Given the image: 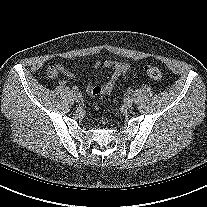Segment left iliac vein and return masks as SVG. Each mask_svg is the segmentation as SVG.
<instances>
[{
  "label": "left iliac vein",
  "instance_id": "obj_1",
  "mask_svg": "<svg viewBox=\"0 0 207 207\" xmlns=\"http://www.w3.org/2000/svg\"><path fill=\"white\" fill-rule=\"evenodd\" d=\"M123 105L125 108H130L133 105V98L128 96L124 99Z\"/></svg>",
  "mask_w": 207,
  "mask_h": 207
}]
</instances>
